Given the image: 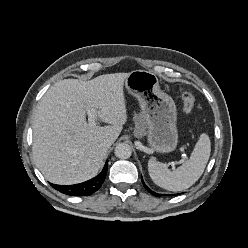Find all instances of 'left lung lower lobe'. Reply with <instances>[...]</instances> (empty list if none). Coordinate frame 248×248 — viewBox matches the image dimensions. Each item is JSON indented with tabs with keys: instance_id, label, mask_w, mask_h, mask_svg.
<instances>
[{
	"instance_id": "obj_1",
	"label": "left lung lower lobe",
	"mask_w": 248,
	"mask_h": 248,
	"mask_svg": "<svg viewBox=\"0 0 248 248\" xmlns=\"http://www.w3.org/2000/svg\"><path fill=\"white\" fill-rule=\"evenodd\" d=\"M142 182H143L144 187H145L152 195L157 196V197H160V196L163 195V194H158V193H156V192L151 191V190L146 186V184L144 183L143 179H142ZM168 196H170V194H168Z\"/></svg>"
}]
</instances>
